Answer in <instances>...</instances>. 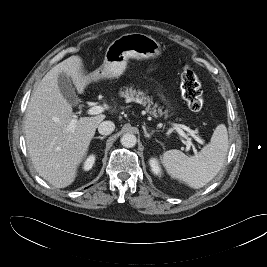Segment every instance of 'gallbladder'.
Masks as SVG:
<instances>
[{
	"instance_id": "obj_1",
	"label": "gallbladder",
	"mask_w": 267,
	"mask_h": 267,
	"mask_svg": "<svg viewBox=\"0 0 267 267\" xmlns=\"http://www.w3.org/2000/svg\"><path fill=\"white\" fill-rule=\"evenodd\" d=\"M58 85L63 97L71 104V105H78L80 100L76 95L75 88L73 86L71 78L65 74L60 73L58 77Z\"/></svg>"
}]
</instances>
